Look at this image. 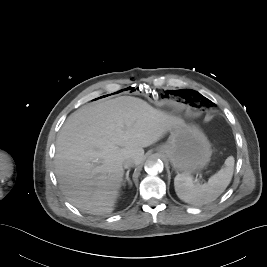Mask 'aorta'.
Masks as SVG:
<instances>
[{"label":"aorta","instance_id":"762f6f07","mask_svg":"<svg viewBox=\"0 0 267 267\" xmlns=\"http://www.w3.org/2000/svg\"><path fill=\"white\" fill-rule=\"evenodd\" d=\"M163 162L156 156H151L146 162L144 169L149 175H157L163 171Z\"/></svg>","mask_w":267,"mask_h":267}]
</instances>
